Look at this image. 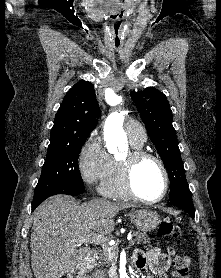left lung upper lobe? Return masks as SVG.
I'll list each match as a JSON object with an SVG mask.
<instances>
[{"instance_id":"obj_1","label":"left lung upper lobe","mask_w":221,"mask_h":278,"mask_svg":"<svg viewBox=\"0 0 221 278\" xmlns=\"http://www.w3.org/2000/svg\"><path fill=\"white\" fill-rule=\"evenodd\" d=\"M142 121L168 171L169 200L192 196L181 160L176 131L172 125V111L166 96L154 88L131 92Z\"/></svg>"}]
</instances>
